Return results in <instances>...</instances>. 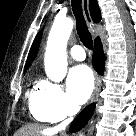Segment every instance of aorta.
I'll use <instances>...</instances> for the list:
<instances>
[{
	"instance_id": "1",
	"label": "aorta",
	"mask_w": 136,
	"mask_h": 136,
	"mask_svg": "<svg viewBox=\"0 0 136 136\" xmlns=\"http://www.w3.org/2000/svg\"><path fill=\"white\" fill-rule=\"evenodd\" d=\"M71 18L56 17L49 33L45 52V71L54 82L62 81L67 73V41L73 30Z\"/></svg>"
}]
</instances>
